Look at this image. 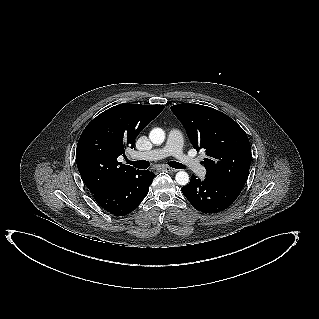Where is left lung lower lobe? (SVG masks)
I'll return each instance as SVG.
<instances>
[{
  "instance_id": "left-lung-lower-lobe-1",
  "label": "left lung lower lobe",
  "mask_w": 319,
  "mask_h": 319,
  "mask_svg": "<svg viewBox=\"0 0 319 319\" xmlns=\"http://www.w3.org/2000/svg\"><path fill=\"white\" fill-rule=\"evenodd\" d=\"M181 190L193 207L203 213H217L226 209L241 193L218 180L205 178L201 181L195 175Z\"/></svg>"
}]
</instances>
